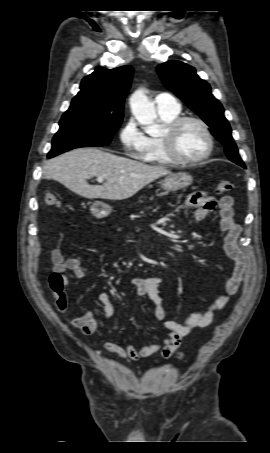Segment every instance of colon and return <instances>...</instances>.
Returning a JSON list of instances; mask_svg holds the SVG:
<instances>
[{"instance_id": "5ec220e1", "label": "colon", "mask_w": 270, "mask_h": 453, "mask_svg": "<svg viewBox=\"0 0 270 453\" xmlns=\"http://www.w3.org/2000/svg\"><path fill=\"white\" fill-rule=\"evenodd\" d=\"M233 189V184L230 181H220L217 184V193L222 194L229 192ZM205 198L207 196L203 195ZM45 203L51 207H60L61 203L58 197L53 193L45 194ZM50 288L55 297V304L58 310L63 311L67 307V296L64 290V282L61 276L57 273H53L49 279Z\"/></svg>"}]
</instances>
